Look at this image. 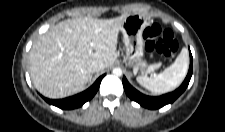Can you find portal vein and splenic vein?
Wrapping results in <instances>:
<instances>
[{"label":"portal vein and splenic vein","instance_id":"portal-vein-and-splenic-vein-1","mask_svg":"<svg viewBox=\"0 0 225 132\" xmlns=\"http://www.w3.org/2000/svg\"><path fill=\"white\" fill-rule=\"evenodd\" d=\"M156 67H157V65H154V66L152 67V70H154Z\"/></svg>","mask_w":225,"mask_h":132}]
</instances>
